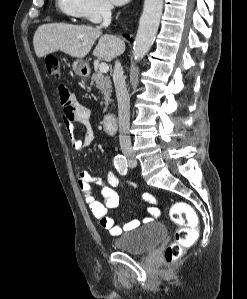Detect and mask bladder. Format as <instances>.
Segmentation results:
<instances>
[{
	"instance_id": "obj_1",
	"label": "bladder",
	"mask_w": 247,
	"mask_h": 299,
	"mask_svg": "<svg viewBox=\"0 0 247 299\" xmlns=\"http://www.w3.org/2000/svg\"><path fill=\"white\" fill-rule=\"evenodd\" d=\"M166 234V227L162 223L151 222L122 234L113 243L119 251L140 255L155 248Z\"/></svg>"
}]
</instances>
